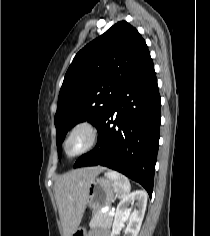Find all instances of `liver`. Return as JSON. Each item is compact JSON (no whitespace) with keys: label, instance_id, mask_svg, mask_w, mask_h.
<instances>
[{"label":"liver","instance_id":"6515ba94","mask_svg":"<svg viewBox=\"0 0 210 236\" xmlns=\"http://www.w3.org/2000/svg\"><path fill=\"white\" fill-rule=\"evenodd\" d=\"M105 168L87 167L70 171L55 181V197L64 236H72L81 223L90 183Z\"/></svg>","mask_w":210,"mask_h":236}]
</instances>
